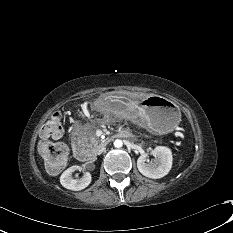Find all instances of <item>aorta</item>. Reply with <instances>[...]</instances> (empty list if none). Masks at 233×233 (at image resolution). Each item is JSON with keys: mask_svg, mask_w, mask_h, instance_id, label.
<instances>
[{"mask_svg": "<svg viewBox=\"0 0 233 233\" xmlns=\"http://www.w3.org/2000/svg\"><path fill=\"white\" fill-rule=\"evenodd\" d=\"M114 146H115L116 148H121V147L123 146L122 140L116 139V140L114 141Z\"/></svg>", "mask_w": 233, "mask_h": 233, "instance_id": "1", "label": "aorta"}]
</instances>
